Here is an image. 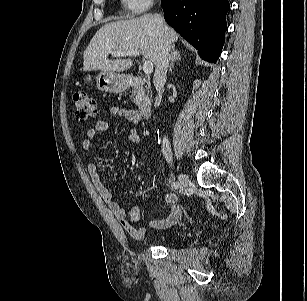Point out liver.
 <instances>
[{
    "label": "liver",
    "instance_id": "1",
    "mask_svg": "<svg viewBox=\"0 0 307 301\" xmlns=\"http://www.w3.org/2000/svg\"><path fill=\"white\" fill-rule=\"evenodd\" d=\"M178 38L176 31L156 14L108 23L97 31L87 46L83 54V70L116 73L131 68V58L108 59L109 54L117 51L140 50L145 59L156 65L163 40L175 43Z\"/></svg>",
    "mask_w": 307,
    "mask_h": 301
}]
</instances>
